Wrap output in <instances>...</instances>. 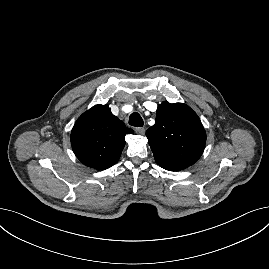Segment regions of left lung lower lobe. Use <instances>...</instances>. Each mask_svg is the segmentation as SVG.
I'll return each mask as SVG.
<instances>
[{"mask_svg":"<svg viewBox=\"0 0 269 269\" xmlns=\"http://www.w3.org/2000/svg\"><path fill=\"white\" fill-rule=\"evenodd\" d=\"M184 168L185 167H179V168H172V169H166V170H169V171H179V170H182Z\"/></svg>","mask_w":269,"mask_h":269,"instance_id":"obj_1","label":"left lung lower lobe"}]
</instances>
